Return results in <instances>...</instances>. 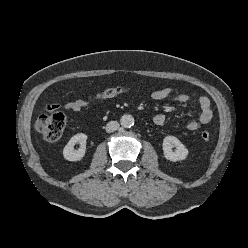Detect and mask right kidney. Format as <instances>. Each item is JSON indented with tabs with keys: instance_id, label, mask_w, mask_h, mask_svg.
<instances>
[{
	"instance_id": "1",
	"label": "right kidney",
	"mask_w": 248,
	"mask_h": 248,
	"mask_svg": "<svg viewBox=\"0 0 248 248\" xmlns=\"http://www.w3.org/2000/svg\"><path fill=\"white\" fill-rule=\"evenodd\" d=\"M87 135L79 133L74 135L63 149V156L68 161H80L86 153ZM76 143L80 144L78 150H74Z\"/></svg>"
}]
</instances>
